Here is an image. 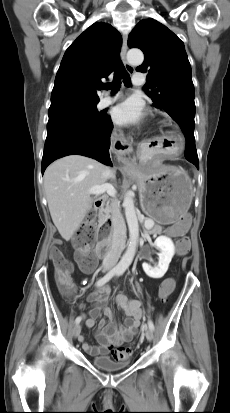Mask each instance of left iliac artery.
<instances>
[{"label": "left iliac artery", "mask_w": 230, "mask_h": 413, "mask_svg": "<svg viewBox=\"0 0 230 413\" xmlns=\"http://www.w3.org/2000/svg\"><path fill=\"white\" fill-rule=\"evenodd\" d=\"M122 273H123V271H118L116 275L120 276V275H122ZM148 326L151 330H154V324H153L152 320H150V319L148 320Z\"/></svg>", "instance_id": "obj_1"}]
</instances>
